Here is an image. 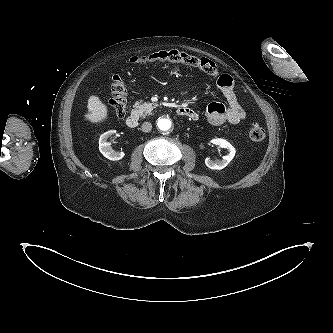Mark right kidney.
Masks as SVG:
<instances>
[{
	"instance_id": "right-kidney-1",
	"label": "right kidney",
	"mask_w": 333,
	"mask_h": 333,
	"mask_svg": "<svg viewBox=\"0 0 333 333\" xmlns=\"http://www.w3.org/2000/svg\"><path fill=\"white\" fill-rule=\"evenodd\" d=\"M115 131H107L100 136L99 139V150L104 157L109 160L116 161L120 160L125 156L124 152L115 151L111 147V143L107 142V139L113 134Z\"/></svg>"
}]
</instances>
